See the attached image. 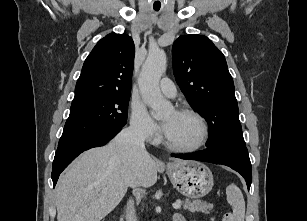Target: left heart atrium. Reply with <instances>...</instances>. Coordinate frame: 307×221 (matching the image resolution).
<instances>
[{
  "label": "left heart atrium",
  "instance_id": "left-heart-atrium-1",
  "mask_svg": "<svg viewBox=\"0 0 307 221\" xmlns=\"http://www.w3.org/2000/svg\"><path fill=\"white\" fill-rule=\"evenodd\" d=\"M168 125L164 124V131L166 132Z\"/></svg>",
  "mask_w": 307,
  "mask_h": 221
}]
</instances>
